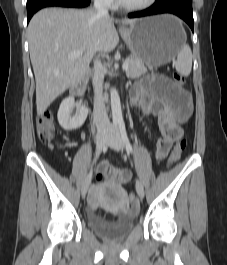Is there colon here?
<instances>
[{"instance_id":"obj_1","label":"colon","mask_w":227,"mask_h":265,"mask_svg":"<svg viewBox=\"0 0 227 265\" xmlns=\"http://www.w3.org/2000/svg\"><path fill=\"white\" fill-rule=\"evenodd\" d=\"M173 79L175 83L180 86L184 85L186 82L185 77L178 73H175L173 75ZM37 133H38L39 139L43 143H49L54 139L55 133H56V127L54 124L53 114L51 111L48 110L39 115L37 119ZM185 147H186L185 139L177 140L169 156V160H168L169 166L175 164L180 159L181 154L183 150L185 149ZM103 178H104V174L102 172H99L96 176L97 181H102ZM130 201L133 204L137 203V198L134 194L130 195Z\"/></svg>"}]
</instances>
